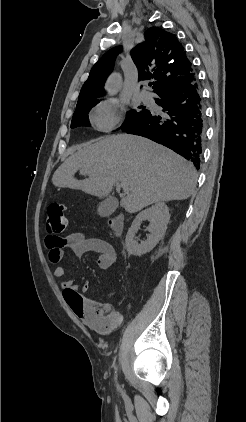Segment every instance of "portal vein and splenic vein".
<instances>
[{
    "label": "portal vein and splenic vein",
    "instance_id": "portal-vein-and-splenic-vein-1",
    "mask_svg": "<svg viewBox=\"0 0 246 422\" xmlns=\"http://www.w3.org/2000/svg\"><path fill=\"white\" fill-rule=\"evenodd\" d=\"M117 184H119L123 189H125L126 188V185L124 184V183H117Z\"/></svg>",
    "mask_w": 246,
    "mask_h": 422
}]
</instances>
